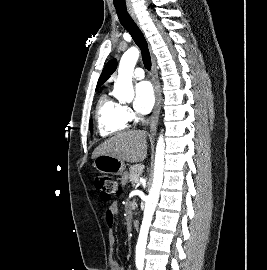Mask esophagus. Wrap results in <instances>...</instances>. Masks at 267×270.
<instances>
[{"mask_svg":"<svg viewBox=\"0 0 267 270\" xmlns=\"http://www.w3.org/2000/svg\"><path fill=\"white\" fill-rule=\"evenodd\" d=\"M128 12L133 18V20L138 24V20H137V17L133 8L129 7ZM149 51H150L151 63H152V81L154 84L155 94H156V103H155V107H154V110L150 119V135L154 136L156 133L158 118H159V113H160L161 93H160V85H159L158 74H157L156 59H155L154 54L152 53L150 45H149Z\"/></svg>","mask_w":267,"mask_h":270,"instance_id":"34e87169","label":"esophagus"}]
</instances>
